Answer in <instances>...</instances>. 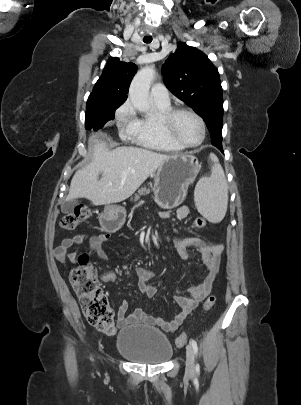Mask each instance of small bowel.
Returning <instances> with one entry per match:
<instances>
[{"mask_svg": "<svg viewBox=\"0 0 301 405\" xmlns=\"http://www.w3.org/2000/svg\"><path fill=\"white\" fill-rule=\"evenodd\" d=\"M189 212L188 206L183 205L176 210L174 215L169 211H164L160 214V218L167 220L174 217L181 220L186 218ZM110 237V233H105L91 237L80 234L65 238L61 244L55 248L54 256L63 264H66L67 261L75 263L76 253L73 250L74 247L88 240L90 248L95 255L99 259L106 261L108 256L104 250V245L108 243ZM174 244L180 257L184 260L194 258V256L190 254L189 248L192 247L197 250V257L202 261L206 270L204 280L196 286L188 287L186 293L177 291L174 300L179 306L180 311L170 321L149 315L142 308H137L131 314L127 315L128 302L125 300L122 301L117 308L118 327L129 324L146 323L158 326L166 332H174L197 307L199 302L204 300L212 292L216 276L219 272L220 256L224 249L223 244H213L199 237L175 238ZM136 275L138 277L139 290L148 297H153L156 293V288L152 284L153 272L143 267H137ZM101 281L113 283L116 281V275L113 272L105 273L102 275Z\"/></svg>", "mask_w": 301, "mask_h": 405, "instance_id": "obj_1", "label": "small bowel"}]
</instances>
